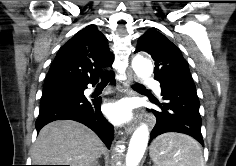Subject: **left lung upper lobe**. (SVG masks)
Returning a JSON list of instances; mask_svg holds the SVG:
<instances>
[{"mask_svg": "<svg viewBox=\"0 0 236 166\" xmlns=\"http://www.w3.org/2000/svg\"><path fill=\"white\" fill-rule=\"evenodd\" d=\"M149 53L155 61L154 74L159 82L172 78L190 79L188 64L179 48L154 28L149 29L139 38L135 52Z\"/></svg>", "mask_w": 236, "mask_h": 166, "instance_id": "obj_1", "label": "left lung upper lobe"}]
</instances>
